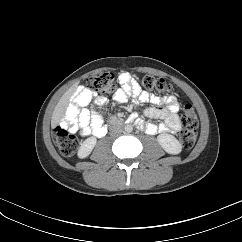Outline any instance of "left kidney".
<instances>
[{
	"mask_svg": "<svg viewBox=\"0 0 242 242\" xmlns=\"http://www.w3.org/2000/svg\"><path fill=\"white\" fill-rule=\"evenodd\" d=\"M157 141L169 154L177 155L182 151V145L173 135L167 133L160 134L157 137Z\"/></svg>",
	"mask_w": 242,
	"mask_h": 242,
	"instance_id": "left-kidney-1",
	"label": "left kidney"
}]
</instances>
